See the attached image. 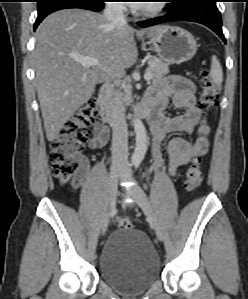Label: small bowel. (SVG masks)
<instances>
[{
    "mask_svg": "<svg viewBox=\"0 0 248 299\" xmlns=\"http://www.w3.org/2000/svg\"><path fill=\"white\" fill-rule=\"evenodd\" d=\"M195 91L194 83L181 75L168 76L151 86L148 91L147 97L152 105L150 124L154 137L152 154L156 170L164 166L161 144L170 133L187 134L186 138L176 137L168 142V170L171 174H175L180 167L205 155L208 151L209 127L201 123L202 111L196 104ZM170 104L181 113L167 115L165 110ZM194 131L197 133L195 141L192 139ZM91 133L90 148L100 149L107 144L109 130L106 126L97 123ZM82 167L83 172H86L85 159L82 160Z\"/></svg>",
    "mask_w": 248,
    "mask_h": 299,
    "instance_id": "c3829d8e",
    "label": "small bowel"
}]
</instances>
